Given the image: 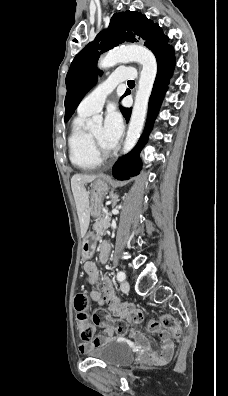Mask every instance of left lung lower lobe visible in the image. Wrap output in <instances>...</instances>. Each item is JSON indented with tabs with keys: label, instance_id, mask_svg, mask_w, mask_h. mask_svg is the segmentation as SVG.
Segmentation results:
<instances>
[{
	"label": "left lung lower lobe",
	"instance_id": "1",
	"mask_svg": "<svg viewBox=\"0 0 228 396\" xmlns=\"http://www.w3.org/2000/svg\"><path fill=\"white\" fill-rule=\"evenodd\" d=\"M167 42L168 37L163 34L155 38L148 46L154 53L158 64L157 76L149 100L148 119L144 133L137 145L130 153L120 158L113 166V176L118 180H127L130 177L136 176L141 169L139 154L147 142L148 135L164 98L169 78L172 75L175 65L174 49L172 46L167 45ZM121 112L128 122L131 115V108L122 107Z\"/></svg>",
	"mask_w": 228,
	"mask_h": 396
}]
</instances>
